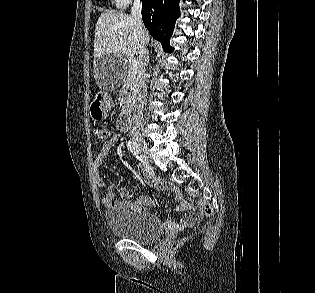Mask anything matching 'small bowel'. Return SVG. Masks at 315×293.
I'll return each instance as SVG.
<instances>
[{"instance_id":"c3829d8e","label":"small bowel","mask_w":315,"mask_h":293,"mask_svg":"<svg viewBox=\"0 0 315 293\" xmlns=\"http://www.w3.org/2000/svg\"><path fill=\"white\" fill-rule=\"evenodd\" d=\"M121 139L119 135L107 137L102 144L101 149L95 155L93 162V173H94V182L95 185L104 190L101 203L106 208H116L120 206H129L140 212H146L147 209L153 205V201L148 196H140L137 200L132 201L133 197L130 195L129 191L126 189L119 190L118 195L122 197V200H115V185L111 184L105 186L100 174V168L109 155L113 146ZM143 175L145 172L142 170ZM151 183L160 190H169L174 194V199L176 201V210L178 212L185 213V216L180 223H177L172 220L166 222L167 226L172 230H179L185 227H190L197 222H199L201 216L200 213L190 204L189 202L183 199L181 190L175 185L163 181L161 179H153Z\"/></svg>"}]
</instances>
